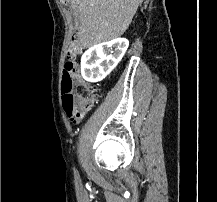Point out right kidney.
Instances as JSON below:
<instances>
[{"label": "right kidney", "instance_id": "obj_1", "mask_svg": "<svg viewBox=\"0 0 217 202\" xmlns=\"http://www.w3.org/2000/svg\"><path fill=\"white\" fill-rule=\"evenodd\" d=\"M129 46L126 38H116L89 48L81 58V74L87 82L104 80L120 60Z\"/></svg>", "mask_w": 217, "mask_h": 202}]
</instances>
